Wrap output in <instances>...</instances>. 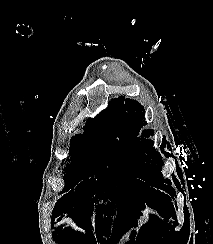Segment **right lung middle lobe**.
<instances>
[{
  "label": "right lung middle lobe",
  "mask_w": 213,
  "mask_h": 244,
  "mask_svg": "<svg viewBox=\"0 0 213 244\" xmlns=\"http://www.w3.org/2000/svg\"><path fill=\"white\" fill-rule=\"evenodd\" d=\"M107 121L105 116L89 119L84 127V133L71 138L70 158L63 169L66 171V186L72 187L83 178L85 180L89 171L93 172L90 176L95 174L97 176L98 172L114 174L125 167L120 152V140L118 141L116 137L113 139Z\"/></svg>",
  "instance_id": "1"
}]
</instances>
